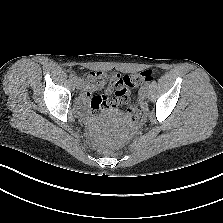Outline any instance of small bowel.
<instances>
[{"instance_id": "small-bowel-1", "label": "small bowel", "mask_w": 223, "mask_h": 223, "mask_svg": "<svg viewBox=\"0 0 223 223\" xmlns=\"http://www.w3.org/2000/svg\"><path fill=\"white\" fill-rule=\"evenodd\" d=\"M116 75L115 73L92 72L88 77V83L82 96V107L88 102L91 104V111L87 113L86 119L93 121L100 113H115L118 107L122 105L119 98L114 95L110 98L109 95L115 90L113 84L109 82ZM105 88L103 95L92 96L94 91Z\"/></svg>"}]
</instances>
